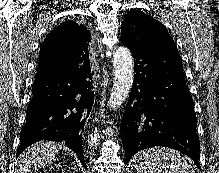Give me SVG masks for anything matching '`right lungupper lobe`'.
Masks as SVG:
<instances>
[{
  "label": "right lung upper lobe",
  "instance_id": "1",
  "mask_svg": "<svg viewBox=\"0 0 219 173\" xmlns=\"http://www.w3.org/2000/svg\"><path fill=\"white\" fill-rule=\"evenodd\" d=\"M91 34L74 21L61 23L51 31L40 46L39 61L58 59L60 62L76 54L89 63L88 41Z\"/></svg>",
  "mask_w": 219,
  "mask_h": 173
}]
</instances>
